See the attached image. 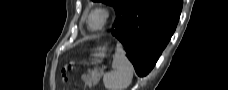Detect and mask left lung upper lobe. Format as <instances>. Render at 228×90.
Returning <instances> with one entry per match:
<instances>
[{"label":"left lung upper lobe","mask_w":228,"mask_h":90,"mask_svg":"<svg viewBox=\"0 0 228 90\" xmlns=\"http://www.w3.org/2000/svg\"><path fill=\"white\" fill-rule=\"evenodd\" d=\"M93 1H100L113 6L118 16L122 12V10L127 6L130 0H93Z\"/></svg>","instance_id":"obj_1"}]
</instances>
